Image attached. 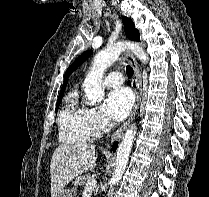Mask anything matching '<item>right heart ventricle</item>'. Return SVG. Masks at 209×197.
Here are the masks:
<instances>
[{
  "mask_svg": "<svg viewBox=\"0 0 209 197\" xmlns=\"http://www.w3.org/2000/svg\"><path fill=\"white\" fill-rule=\"evenodd\" d=\"M86 109L78 95L72 92L58 115L59 138L64 143L87 142L93 136L88 125Z\"/></svg>",
  "mask_w": 209,
  "mask_h": 197,
  "instance_id": "e07e8e85",
  "label": "right heart ventricle"
}]
</instances>
